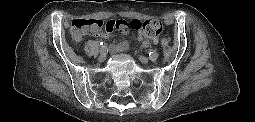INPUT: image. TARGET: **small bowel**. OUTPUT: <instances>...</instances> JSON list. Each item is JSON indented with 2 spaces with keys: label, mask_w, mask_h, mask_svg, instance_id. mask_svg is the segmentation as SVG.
<instances>
[{
  "label": "small bowel",
  "mask_w": 255,
  "mask_h": 122,
  "mask_svg": "<svg viewBox=\"0 0 255 122\" xmlns=\"http://www.w3.org/2000/svg\"><path fill=\"white\" fill-rule=\"evenodd\" d=\"M122 33H127L128 29L127 28H123V29H119ZM112 31V30H111ZM111 31H106V30H102V31H90V33H92L93 35H96L98 37L104 38V39H108L110 36ZM138 39L140 41H142L143 46H148L150 41H153L154 43L157 42V38L154 37H147L146 35H144L143 32H139L138 35ZM111 49L113 52H123L125 50L128 49V43L125 41L116 43L114 45L111 46Z\"/></svg>",
  "instance_id": "obj_1"
}]
</instances>
